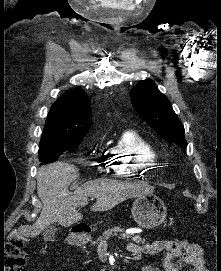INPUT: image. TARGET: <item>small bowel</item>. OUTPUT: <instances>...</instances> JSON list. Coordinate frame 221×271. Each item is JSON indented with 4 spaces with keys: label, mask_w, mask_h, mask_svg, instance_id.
I'll use <instances>...</instances> for the list:
<instances>
[{
    "label": "small bowel",
    "mask_w": 221,
    "mask_h": 271,
    "mask_svg": "<svg viewBox=\"0 0 221 271\" xmlns=\"http://www.w3.org/2000/svg\"><path fill=\"white\" fill-rule=\"evenodd\" d=\"M127 251L132 255H155L164 253L165 271H208L201 246L183 240L160 239L140 245L130 242ZM142 271H159V268L146 265Z\"/></svg>",
    "instance_id": "obj_1"
}]
</instances>
